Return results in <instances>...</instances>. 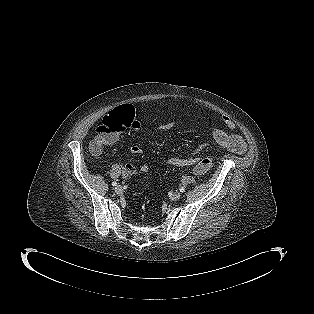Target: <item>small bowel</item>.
<instances>
[{"instance_id": "obj_1", "label": "small bowel", "mask_w": 314, "mask_h": 314, "mask_svg": "<svg viewBox=\"0 0 314 314\" xmlns=\"http://www.w3.org/2000/svg\"><path fill=\"white\" fill-rule=\"evenodd\" d=\"M222 123L225 125V127L228 130H232L234 128L233 122L227 117H223ZM173 126H174L173 122H165L159 126V129L162 131H166L173 128ZM212 137L214 141L223 149L229 150L234 153H239V154H242L246 151L247 146H246L245 141L239 135L234 134L230 131L224 130L219 127H215L212 130ZM123 138H124L123 135H117L110 143H107L105 146L112 145L115 142H117L119 139H123ZM142 152H143V149L139 145H133L130 148V153L133 155H138V154H141ZM197 153L198 152L185 158L173 157L169 159V164L175 167L193 166L198 161V157L196 155ZM147 169L148 168L146 165L136 167L131 164H126L124 166V174L126 176H134L138 173L146 172Z\"/></svg>"}]
</instances>
